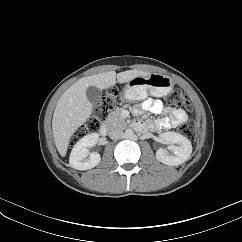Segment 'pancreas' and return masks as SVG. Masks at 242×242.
Segmentation results:
<instances>
[{"label": "pancreas", "mask_w": 242, "mask_h": 242, "mask_svg": "<svg viewBox=\"0 0 242 242\" xmlns=\"http://www.w3.org/2000/svg\"><path fill=\"white\" fill-rule=\"evenodd\" d=\"M122 109L117 108L107 116V123L110 126H117L121 129L126 127L125 119L121 116Z\"/></svg>", "instance_id": "obj_1"}]
</instances>
